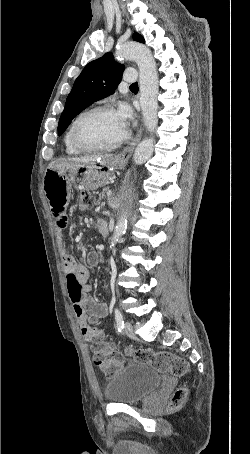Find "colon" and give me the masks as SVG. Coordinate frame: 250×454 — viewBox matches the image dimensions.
Masks as SVG:
<instances>
[{
    "mask_svg": "<svg viewBox=\"0 0 250 454\" xmlns=\"http://www.w3.org/2000/svg\"><path fill=\"white\" fill-rule=\"evenodd\" d=\"M93 196L88 192H82L79 197V209L89 210L93 206ZM92 350L94 351L95 364L108 376L113 375L125 365V358L121 353L109 349L104 340L103 333L95 329L92 335ZM136 362L149 364L154 370L169 373L174 376H183L187 372L186 361L167 351H152L139 349L130 352ZM186 387H178L172 394L171 406L180 407L187 398Z\"/></svg>",
    "mask_w": 250,
    "mask_h": 454,
    "instance_id": "5ec220e1",
    "label": "colon"
}]
</instances>
